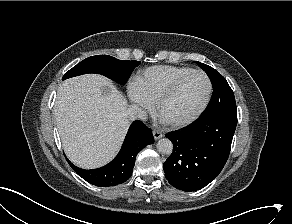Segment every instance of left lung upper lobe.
<instances>
[{"mask_svg":"<svg viewBox=\"0 0 292 224\" xmlns=\"http://www.w3.org/2000/svg\"><path fill=\"white\" fill-rule=\"evenodd\" d=\"M196 63L207 73L213 86L211 100L200 117L209 115L210 113L223 108L236 106L233 91L227 83L226 79L212 67L201 62Z\"/></svg>","mask_w":292,"mask_h":224,"instance_id":"1","label":"left lung upper lobe"}]
</instances>
